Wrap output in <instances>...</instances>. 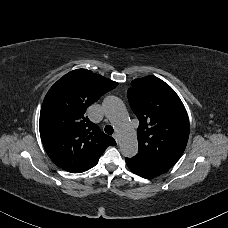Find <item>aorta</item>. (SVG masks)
I'll list each match as a JSON object with an SVG mask.
<instances>
[{
	"label": "aorta",
	"mask_w": 228,
	"mask_h": 228,
	"mask_svg": "<svg viewBox=\"0 0 228 228\" xmlns=\"http://www.w3.org/2000/svg\"><path fill=\"white\" fill-rule=\"evenodd\" d=\"M103 109L116 128L121 153L129 158L135 156L138 151L137 134L129 122L128 113L122 100L115 96H108L103 102Z\"/></svg>",
	"instance_id": "762f6f07"
}]
</instances>
